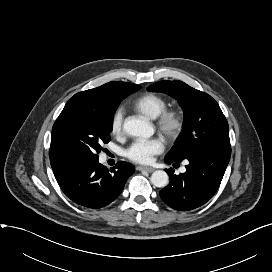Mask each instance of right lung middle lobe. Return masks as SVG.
<instances>
[{"mask_svg":"<svg viewBox=\"0 0 272 272\" xmlns=\"http://www.w3.org/2000/svg\"><path fill=\"white\" fill-rule=\"evenodd\" d=\"M140 88L135 85L128 95ZM118 106L100 112L73 110L60 114L52 128L50 159L65 164L98 159L101 145L110 141L113 117Z\"/></svg>","mask_w":272,"mask_h":272,"instance_id":"1","label":"right lung middle lobe"}]
</instances>
